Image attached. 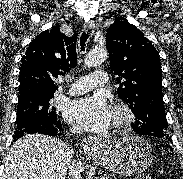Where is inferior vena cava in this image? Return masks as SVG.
<instances>
[{
	"mask_svg": "<svg viewBox=\"0 0 183 179\" xmlns=\"http://www.w3.org/2000/svg\"><path fill=\"white\" fill-rule=\"evenodd\" d=\"M69 174L71 179H82L80 172L82 171L81 163L73 162L72 165H69Z\"/></svg>",
	"mask_w": 183,
	"mask_h": 179,
	"instance_id": "1",
	"label": "inferior vena cava"
}]
</instances>
